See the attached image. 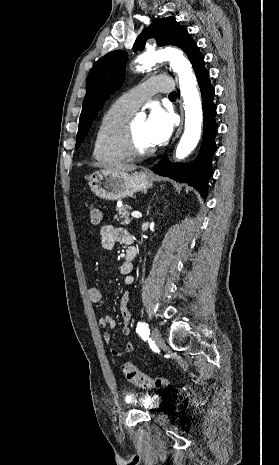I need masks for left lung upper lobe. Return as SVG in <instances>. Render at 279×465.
Masks as SVG:
<instances>
[{
    "label": "left lung upper lobe",
    "mask_w": 279,
    "mask_h": 465,
    "mask_svg": "<svg viewBox=\"0 0 279 465\" xmlns=\"http://www.w3.org/2000/svg\"><path fill=\"white\" fill-rule=\"evenodd\" d=\"M149 38H154L159 46L174 45L180 47L187 54L192 65L202 55L186 27L176 22L174 17L155 19L138 36L133 50H143ZM126 61L127 53L123 50H116L100 58L92 67L86 83V96L80 115L76 148L85 138L104 102L124 82Z\"/></svg>",
    "instance_id": "1"
}]
</instances>
